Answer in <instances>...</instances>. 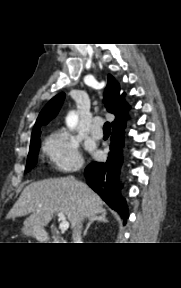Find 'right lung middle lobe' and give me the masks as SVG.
I'll list each match as a JSON object with an SVG mask.
<instances>
[{
    "label": "right lung middle lobe",
    "mask_w": 181,
    "mask_h": 288,
    "mask_svg": "<svg viewBox=\"0 0 181 288\" xmlns=\"http://www.w3.org/2000/svg\"><path fill=\"white\" fill-rule=\"evenodd\" d=\"M39 147H40L39 138H37L34 141H31L25 172H29L33 168V166L37 163Z\"/></svg>",
    "instance_id": "right-lung-middle-lobe-1"
}]
</instances>
